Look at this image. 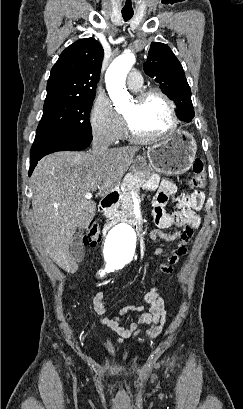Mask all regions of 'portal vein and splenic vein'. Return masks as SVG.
<instances>
[{"label": "portal vein and splenic vein", "mask_w": 243, "mask_h": 409, "mask_svg": "<svg viewBox=\"0 0 243 409\" xmlns=\"http://www.w3.org/2000/svg\"><path fill=\"white\" fill-rule=\"evenodd\" d=\"M131 194L134 195V194H136V193H134V192L132 191ZM85 198L88 199V200H91V198H92V193H91V192L86 193V194H85Z\"/></svg>", "instance_id": "obj_1"}]
</instances>
